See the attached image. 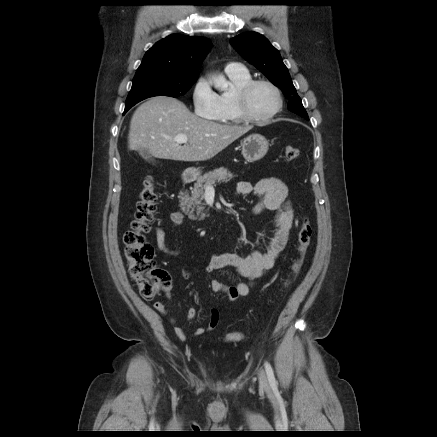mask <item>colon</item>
<instances>
[{"mask_svg":"<svg viewBox=\"0 0 437 437\" xmlns=\"http://www.w3.org/2000/svg\"><path fill=\"white\" fill-rule=\"evenodd\" d=\"M299 149L293 146L285 148V157L292 161L298 158ZM157 194L155 183L151 176H147L139 192L134 219L130 229L124 234V252L131 278L136 282L144 299L154 298L163 288L165 273L156 267L153 246L145 239L150 230V224L156 210ZM312 227L304 218L297 234V254L290 271L284 279L281 291L286 290L298 275L303 265L304 257L310 245ZM242 332L234 331L225 337L228 343H236L243 339Z\"/></svg>","mask_w":437,"mask_h":437,"instance_id":"1","label":"colon"}]
</instances>
